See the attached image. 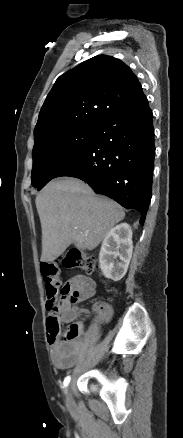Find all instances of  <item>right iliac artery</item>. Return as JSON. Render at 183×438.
<instances>
[{
  "label": "right iliac artery",
  "instance_id": "82829eb1",
  "mask_svg": "<svg viewBox=\"0 0 183 438\" xmlns=\"http://www.w3.org/2000/svg\"><path fill=\"white\" fill-rule=\"evenodd\" d=\"M70 380H71V377H70V376H67V377L64 379V382H63L64 387H67V386H68Z\"/></svg>",
  "mask_w": 183,
  "mask_h": 438
}]
</instances>
